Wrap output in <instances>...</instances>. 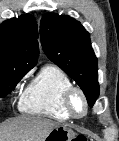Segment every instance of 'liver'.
Segmentation results:
<instances>
[{"instance_id":"obj_1","label":"liver","mask_w":119,"mask_h":141,"mask_svg":"<svg viewBox=\"0 0 119 141\" xmlns=\"http://www.w3.org/2000/svg\"><path fill=\"white\" fill-rule=\"evenodd\" d=\"M61 124L42 117H22L0 128V141H44Z\"/></svg>"}]
</instances>
